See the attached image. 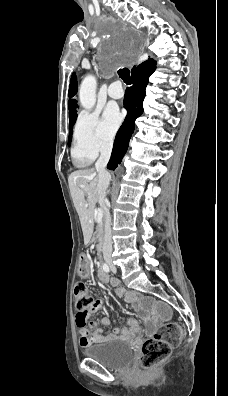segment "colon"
<instances>
[{"label":"colon","instance_id":"1","mask_svg":"<svg viewBox=\"0 0 228 396\" xmlns=\"http://www.w3.org/2000/svg\"><path fill=\"white\" fill-rule=\"evenodd\" d=\"M74 296L78 312L76 325L84 328L88 319V311L93 305V299L88 287L83 282L76 283ZM182 327L176 323H165L149 337L142 346L139 364L143 369L150 370L159 366L170 355L172 349L178 345L182 337Z\"/></svg>","mask_w":228,"mask_h":396}]
</instances>
